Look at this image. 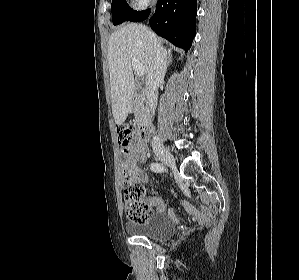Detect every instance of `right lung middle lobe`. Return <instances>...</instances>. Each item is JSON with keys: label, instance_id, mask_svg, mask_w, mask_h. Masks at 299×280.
<instances>
[{"label": "right lung middle lobe", "instance_id": "1", "mask_svg": "<svg viewBox=\"0 0 299 280\" xmlns=\"http://www.w3.org/2000/svg\"><path fill=\"white\" fill-rule=\"evenodd\" d=\"M111 11L114 25L127 21L134 13V10L129 7L126 0H112Z\"/></svg>", "mask_w": 299, "mask_h": 280}]
</instances>
